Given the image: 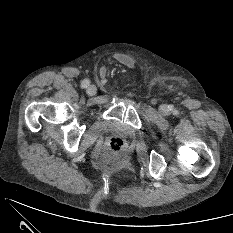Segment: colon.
Instances as JSON below:
<instances>
[{
  "label": "colon",
  "instance_id": "obj_1",
  "mask_svg": "<svg viewBox=\"0 0 233 233\" xmlns=\"http://www.w3.org/2000/svg\"><path fill=\"white\" fill-rule=\"evenodd\" d=\"M105 147L108 155L113 157L118 155L125 148V142L121 138L111 137L107 139Z\"/></svg>",
  "mask_w": 233,
  "mask_h": 233
}]
</instances>
